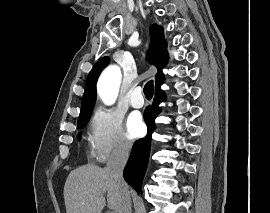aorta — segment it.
<instances>
[{
	"label": "aorta",
	"instance_id": "1",
	"mask_svg": "<svg viewBox=\"0 0 270 213\" xmlns=\"http://www.w3.org/2000/svg\"><path fill=\"white\" fill-rule=\"evenodd\" d=\"M121 70L116 65L106 68L97 83L98 94L105 105L115 103L121 83Z\"/></svg>",
	"mask_w": 270,
	"mask_h": 213
}]
</instances>
